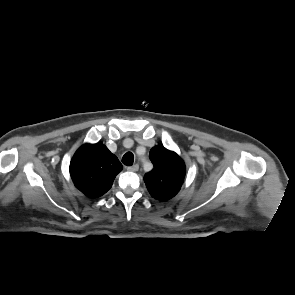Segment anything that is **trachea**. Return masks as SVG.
I'll use <instances>...</instances> for the list:
<instances>
[{"label":"trachea","mask_w":295,"mask_h":295,"mask_svg":"<svg viewBox=\"0 0 295 295\" xmlns=\"http://www.w3.org/2000/svg\"><path fill=\"white\" fill-rule=\"evenodd\" d=\"M134 161V155L132 152H127L122 157V163L126 166H132Z\"/></svg>","instance_id":"obj_1"}]
</instances>
